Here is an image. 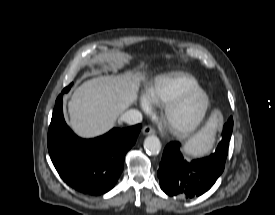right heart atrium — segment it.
Segmentation results:
<instances>
[{"label":"right heart atrium","mask_w":275,"mask_h":215,"mask_svg":"<svg viewBox=\"0 0 275 215\" xmlns=\"http://www.w3.org/2000/svg\"><path fill=\"white\" fill-rule=\"evenodd\" d=\"M140 105L145 111H150L151 110V101L146 96H143L141 98Z\"/></svg>","instance_id":"obj_1"}]
</instances>
